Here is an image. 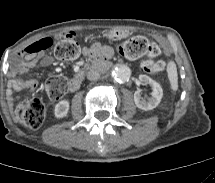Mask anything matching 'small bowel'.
<instances>
[{"label":"small bowel","mask_w":215,"mask_h":183,"mask_svg":"<svg viewBox=\"0 0 215 183\" xmlns=\"http://www.w3.org/2000/svg\"><path fill=\"white\" fill-rule=\"evenodd\" d=\"M72 33H69L68 36H72ZM60 37V35H57ZM48 40L53 44V37L47 36L44 37L25 48V50L19 54L18 60L12 69L13 78H11L8 82L7 96L9 101H14V92H21L25 90H33L37 86V81H23L20 77L29 72L32 68L38 65L50 64L53 62L54 58L50 55L46 54V51L35 52L32 51V47L42 41ZM108 47L101 44H93L84 49V54L88 57H95L100 53H108Z\"/></svg>","instance_id":"1"}]
</instances>
